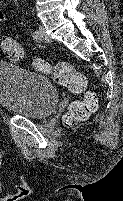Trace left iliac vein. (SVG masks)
I'll return each mask as SVG.
<instances>
[{"label": "left iliac vein", "instance_id": "obj_1", "mask_svg": "<svg viewBox=\"0 0 123 201\" xmlns=\"http://www.w3.org/2000/svg\"><path fill=\"white\" fill-rule=\"evenodd\" d=\"M38 41H47L51 42V38L45 33V29L43 26H40L38 29Z\"/></svg>", "mask_w": 123, "mask_h": 201}]
</instances>
